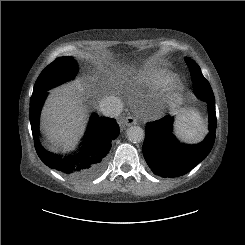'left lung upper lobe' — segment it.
Segmentation results:
<instances>
[{"mask_svg":"<svg viewBox=\"0 0 245 245\" xmlns=\"http://www.w3.org/2000/svg\"><path fill=\"white\" fill-rule=\"evenodd\" d=\"M184 59L190 70L194 93L199 97L209 96L213 91L209 82L202 75L200 67L193 60L187 57Z\"/></svg>","mask_w":245,"mask_h":245,"instance_id":"1","label":"left lung upper lobe"}]
</instances>
